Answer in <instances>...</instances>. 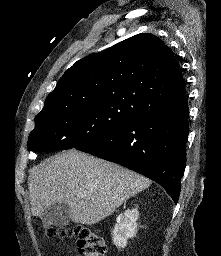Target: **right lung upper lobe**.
Returning a JSON list of instances; mask_svg holds the SVG:
<instances>
[{
    "label": "right lung upper lobe",
    "mask_w": 221,
    "mask_h": 256,
    "mask_svg": "<svg viewBox=\"0 0 221 256\" xmlns=\"http://www.w3.org/2000/svg\"><path fill=\"white\" fill-rule=\"evenodd\" d=\"M187 101L178 62L155 35L141 33L77 61L60 78L38 114L110 104L135 116Z\"/></svg>",
    "instance_id": "right-lung-upper-lobe-1"
}]
</instances>
